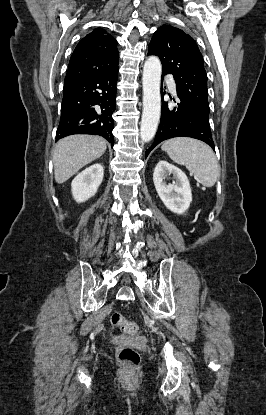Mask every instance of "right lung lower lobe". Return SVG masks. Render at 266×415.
<instances>
[{
  "mask_svg": "<svg viewBox=\"0 0 266 415\" xmlns=\"http://www.w3.org/2000/svg\"><path fill=\"white\" fill-rule=\"evenodd\" d=\"M118 67L113 71L64 84L56 141L72 134L100 135L114 145Z\"/></svg>",
  "mask_w": 266,
  "mask_h": 415,
  "instance_id": "right-lung-lower-lobe-1",
  "label": "right lung lower lobe"
}]
</instances>
